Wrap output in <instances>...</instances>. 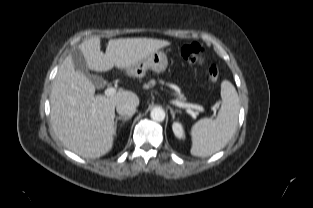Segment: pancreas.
Returning a JSON list of instances; mask_svg holds the SVG:
<instances>
[{"label":"pancreas","instance_id":"obj_1","mask_svg":"<svg viewBox=\"0 0 313 208\" xmlns=\"http://www.w3.org/2000/svg\"><path fill=\"white\" fill-rule=\"evenodd\" d=\"M155 84V82L152 80L147 85H145L146 88L151 87ZM181 100L184 102L186 100L185 97H182Z\"/></svg>","mask_w":313,"mask_h":208}]
</instances>
